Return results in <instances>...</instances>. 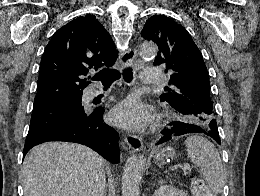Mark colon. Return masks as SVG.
Wrapping results in <instances>:
<instances>
[{
  "instance_id": "1",
  "label": "colon",
  "mask_w": 260,
  "mask_h": 196,
  "mask_svg": "<svg viewBox=\"0 0 260 196\" xmlns=\"http://www.w3.org/2000/svg\"><path fill=\"white\" fill-rule=\"evenodd\" d=\"M199 185V182L198 181H195L191 184V189L194 190L195 188H197Z\"/></svg>"
}]
</instances>
